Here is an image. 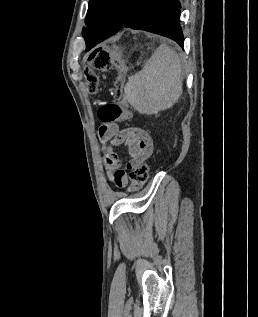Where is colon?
Masks as SVG:
<instances>
[{
    "label": "colon",
    "instance_id": "1",
    "mask_svg": "<svg viewBox=\"0 0 258 317\" xmlns=\"http://www.w3.org/2000/svg\"><path fill=\"white\" fill-rule=\"evenodd\" d=\"M112 65V55L106 48H97L89 53L87 57V68L85 75L92 89L99 84L97 71H103ZM124 78L118 76L115 88V101L102 105L98 111V117L102 123H114L118 121H128L132 118V111L121 102L124 98ZM149 176V167L146 163H141L130 171L129 178L131 181V189H141L146 183Z\"/></svg>",
    "mask_w": 258,
    "mask_h": 317
}]
</instances>
